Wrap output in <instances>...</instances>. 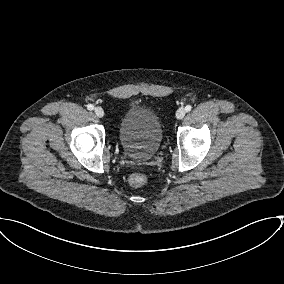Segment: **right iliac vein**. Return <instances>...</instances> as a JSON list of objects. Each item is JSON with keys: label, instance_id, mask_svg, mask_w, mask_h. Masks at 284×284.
Instances as JSON below:
<instances>
[{"label": "right iliac vein", "instance_id": "right-iliac-vein-1", "mask_svg": "<svg viewBox=\"0 0 284 284\" xmlns=\"http://www.w3.org/2000/svg\"><path fill=\"white\" fill-rule=\"evenodd\" d=\"M94 112H95L97 117L102 118L104 116V110L101 107H96L94 109Z\"/></svg>", "mask_w": 284, "mask_h": 284}]
</instances>
